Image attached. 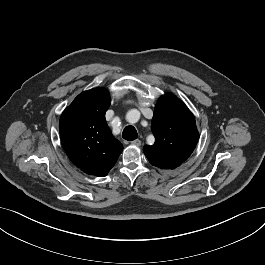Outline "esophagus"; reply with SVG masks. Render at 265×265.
I'll return each instance as SVG.
<instances>
[{"label": "esophagus", "instance_id": "34e87169", "mask_svg": "<svg viewBox=\"0 0 265 265\" xmlns=\"http://www.w3.org/2000/svg\"><path fill=\"white\" fill-rule=\"evenodd\" d=\"M131 144L135 145V146H140L141 145V141L139 139H136V140L132 141Z\"/></svg>", "mask_w": 265, "mask_h": 265}]
</instances>
